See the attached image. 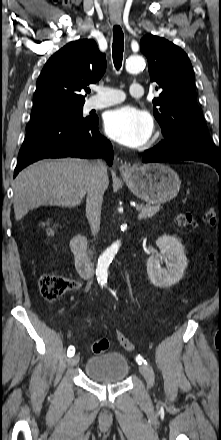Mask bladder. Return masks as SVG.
<instances>
[{
    "label": "bladder",
    "instance_id": "31cf9c89",
    "mask_svg": "<svg viewBox=\"0 0 221 440\" xmlns=\"http://www.w3.org/2000/svg\"><path fill=\"white\" fill-rule=\"evenodd\" d=\"M129 373V362L119 352L98 354L88 359L85 375L99 383L114 384L125 380Z\"/></svg>",
    "mask_w": 221,
    "mask_h": 440
}]
</instances>
